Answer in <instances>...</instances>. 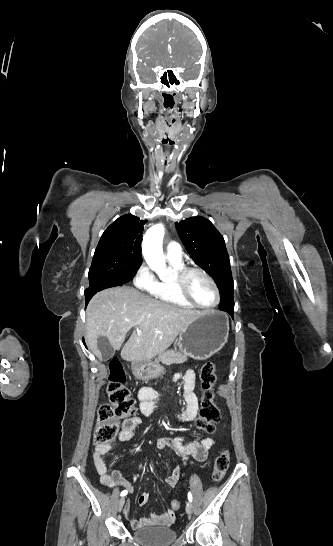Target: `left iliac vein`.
<instances>
[{
  "label": "left iliac vein",
  "instance_id": "obj_1",
  "mask_svg": "<svg viewBox=\"0 0 333 546\" xmlns=\"http://www.w3.org/2000/svg\"><path fill=\"white\" fill-rule=\"evenodd\" d=\"M193 511V504L191 502H188L186 505V512L187 514H191Z\"/></svg>",
  "mask_w": 333,
  "mask_h": 546
}]
</instances>
